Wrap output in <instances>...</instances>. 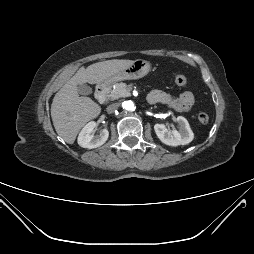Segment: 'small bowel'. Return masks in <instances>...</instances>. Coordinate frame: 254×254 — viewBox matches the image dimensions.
Returning <instances> with one entry per match:
<instances>
[{"instance_id":"1","label":"small bowel","mask_w":254,"mask_h":254,"mask_svg":"<svg viewBox=\"0 0 254 254\" xmlns=\"http://www.w3.org/2000/svg\"><path fill=\"white\" fill-rule=\"evenodd\" d=\"M148 101L152 104L162 103L178 112H187L193 107L194 96L189 91L183 92L179 97H173L162 90H154L148 95Z\"/></svg>"}]
</instances>
